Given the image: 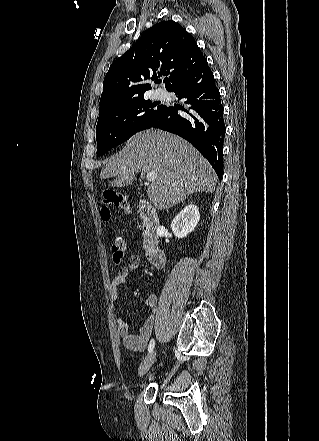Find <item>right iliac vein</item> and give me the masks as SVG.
I'll use <instances>...</instances> for the list:
<instances>
[{"mask_svg":"<svg viewBox=\"0 0 319 441\" xmlns=\"http://www.w3.org/2000/svg\"><path fill=\"white\" fill-rule=\"evenodd\" d=\"M155 357H156V352L153 351L144 359L138 370L139 376H143L149 371V369L151 368V366L155 361Z\"/></svg>","mask_w":319,"mask_h":441,"instance_id":"right-iliac-vein-1","label":"right iliac vein"}]
</instances>
